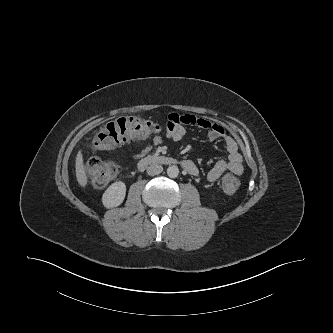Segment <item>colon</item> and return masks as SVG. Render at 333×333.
<instances>
[{"label":"colon","instance_id":"5ec220e1","mask_svg":"<svg viewBox=\"0 0 333 333\" xmlns=\"http://www.w3.org/2000/svg\"><path fill=\"white\" fill-rule=\"evenodd\" d=\"M161 129L159 124L145 118L122 117L102 127L93 138V146L98 150H109L134 139L147 138ZM86 169L97 186L106 185L118 173L116 164L98 158H91ZM238 187L239 181L234 175L223 177L222 188L226 193H234Z\"/></svg>","mask_w":333,"mask_h":333}]
</instances>
